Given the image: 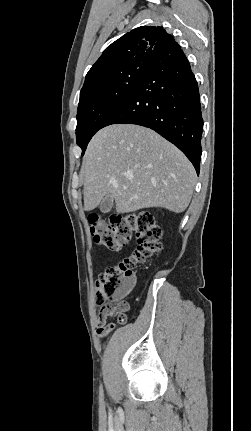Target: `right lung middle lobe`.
I'll return each instance as SVG.
<instances>
[{
    "instance_id": "1",
    "label": "right lung middle lobe",
    "mask_w": 251,
    "mask_h": 431,
    "mask_svg": "<svg viewBox=\"0 0 251 431\" xmlns=\"http://www.w3.org/2000/svg\"><path fill=\"white\" fill-rule=\"evenodd\" d=\"M147 69L146 62L129 64L80 92L76 139L84 154L92 136L114 110L135 90Z\"/></svg>"
}]
</instances>
